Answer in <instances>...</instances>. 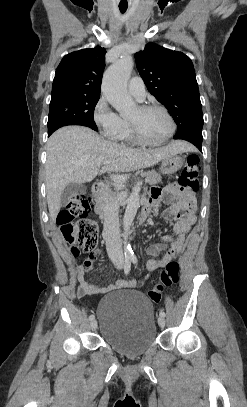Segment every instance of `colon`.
Returning a JSON list of instances; mask_svg holds the SVG:
<instances>
[{"label": "colon", "instance_id": "obj_1", "mask_svg": "<svg viewBox=\"0 0 247 407\" xmlns=\"http://www.w3.org/2000/svg\"><path fill=\"white\" fill-rule=\"evenodd\" d=\"M200 165L199 157L190 154L179 177V185L191 193L198 192ZM93 207V201L86 195L73 196L68 205L59 213L57 224L67 242L72 245V253L77 255L79 250L94 254L99 240V228L95 221L87 218ZM180 267L175 261L169 262L159 272V282L148 292V297L154 303L161 300V292L165 287L177 284Z\"/></svg>", "mask_w": 247, "mask_h": 407}]
</instances>
